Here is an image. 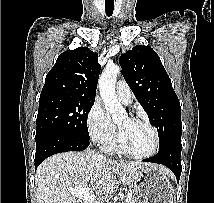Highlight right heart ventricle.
<instances>
[{
    "instance_id": "obj_1",
    "label": "right heart ventricle",
    "mask_w": 214,
    "mask_h": 203,
    "mask_svg": "<svg viewBox=\"0 0 214 203\" xmlns=\"http://www.w3.org/2000/svg\"><path fill=\"white\" fill-rule=\"evenodd\" d=\"M105 149L109 152L116 151L117 148H116V144H115L114 140L111 143H109L108 145H106Z\"/></svg>"
}]
</instances>
